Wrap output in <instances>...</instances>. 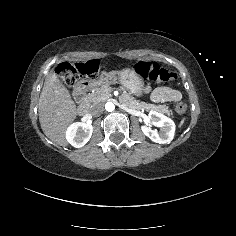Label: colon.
<instances>
[{
    "label": "colon",
    "mask_w": 236,
    "mask_h": 236,
    "mask_svg": "<svg viewBox=\"0 0 236 236\" xmlns=\"http://www.w3.org/2000/svg\"><path fill=\"white\" fill-rule=\"evenodd\" d=\"M97 66L95 63L87 64H60L57 69L59 80L66 86L74 85L80 77L96 71ZM136 72L145 79L165 83L173 81L177 78V74L173 71H168L162 68L158 63L151 61H141L136 64ZM187 110L185 101H181L176 105L178 114H184Z\"/></svg>",
    "instance_id": "obj_1"
}]
</instances>
